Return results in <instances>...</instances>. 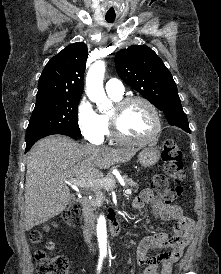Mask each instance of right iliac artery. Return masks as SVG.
<instances>
[{
    "label": "right iliac artery",
    "mask_w": 221,
    "mask_h": 274,
    "mask_svg": "<svg viewBox=\"0 0 221 274\" xmlns=\"http://www.w3.org/2000/svg\"><path fill=\"white\" fill-rule=\"evenodd\" d=\"M102 262H103V257L101 256L99 258V261H98V268H97L98 272H100V269H101V266H102Z\"/></svg>",
    "instance_id": "82829eb1"
}]
</instances>
